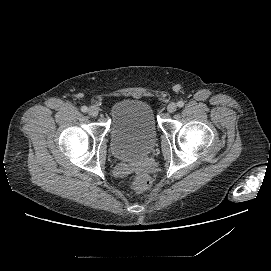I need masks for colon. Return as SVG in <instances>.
<instances>
[{
    "instance_id": "1",
    "label": "colon",
    "mask_w": 271,
    "mask_h": 271,
    "mask_svg": "<svg viewBox=\"0 0 271 271\" xmlns=\"http://www.w3.org/2000/svg\"><path fill=\"white\" fill-rule=\"evenodd\" d=\"M151 185V179L146 174L136 175L131 182V188L136 193H142L146 191Z\"/></svg>"
}]
</instances>
